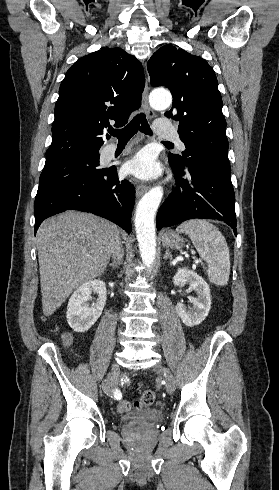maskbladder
<instances>
[{
  "instance_id": "obj_1",
  "label": "bladder",
  "mask_w": 279,
  "mask_h": 490,
  "mask_svg": "<svg viewBox=\"0 0 279 490\" xmlns=\"http://www.w3.org/2000/svg\"><path fill=\"white\" fill-rule=\"evenodd\" d=\"M164 419L162 409L155 406H144L129 412L121 419V424L125 427L138 426L140 424H158Z\"/></svg>"
}]
</instances>
